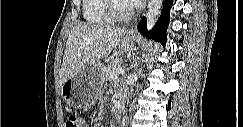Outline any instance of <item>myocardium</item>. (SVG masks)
<instances>
[{"instance_id":"f54148a6","label":"myocardium","mask_w":243,"mask_h":127,"mask_svg":"<svg viewBox=\"0 0 243 127\" xmlns=\"http://www.w3.org/2000/svg\"><path fill=\"white\" fill-rule=\"evenodd\" d=\"M120 1L124 0H107V10L109 14L116 21H126L131 19L136 12L135 6L129 3L127 10L124 11L120 8Z\"/></svg>"}]
</instances>
